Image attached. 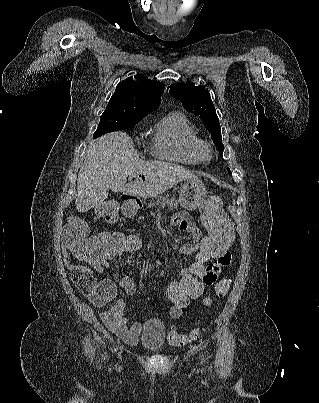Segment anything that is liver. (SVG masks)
<instances>
[{"mask_svg":"<svg viewBox=\"0 0 319 403\" xmlns=\"http://www.w3.org/2000/svg\"><path fill=\"white\" fill-rule=\"evenodd\" d=\"M128 176L136 180L126 184ZM188 179L197 176L173 163L141 160L126 133L111 132L88 147L77 178L75 205L78 212H86L101 204L109 190L129 196L155 197Z\"/></svg>","mask_w":319,"mask_h":403,"instance_id":"liver-1","label":"liver"}]
</instances>
